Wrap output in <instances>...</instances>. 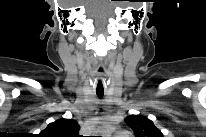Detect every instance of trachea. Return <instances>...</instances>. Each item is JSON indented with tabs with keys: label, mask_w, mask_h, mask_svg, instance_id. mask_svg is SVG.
Here are the masks:
<instances>
[{
	"label": "trachea",
	"mask_w": 206,
	"mask_h": 137,
	"mask_svg": "<svg viewBox=\"0 0 206 137\" xmlns=\"http://www.w3.org/2000/svg\"><path fill=\"white\" fill-rule=\"evenodd\" d=\"M100 87L102 90L99 92L97 91L96 94L99 98H102L103 97V94H104V90H103V84H102V81L99 80L98 81V84H97V88Z\"/></svg>",
	"instance_id": "3493384b"
}]
</instances>
